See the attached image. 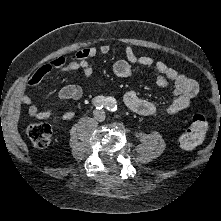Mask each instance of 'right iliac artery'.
Here are the masks:
<instances>
[{"label":"right iliac artery","mask_w":221,"mask_h":221,"mask_svg":"<svg viewBox=\"0 0 221 221\" xmlns=\"http://www.w3.org/2000/svg\"><path fill=\"white\" fill-rule=\"evenodd\" d=\"M93 104L96 107V109H102L103 107H108V98H105L104 96H97L93 100Z\"/></svg>","instance_id":"obj_1"}]
</instances>
